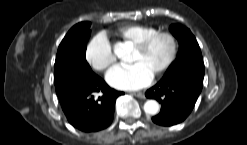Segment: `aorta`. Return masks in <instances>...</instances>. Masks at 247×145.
Listing matches in <instances>:
<instances>
[{
    "instance_id": "762f6f07",
    "label": "aorta",
    "mask_w": 247,
    "mask_h": 145,
    "mask_svg": "<svg viewBox=\"0 0 247 145\" xmlns=\"http://www.w3.org/2000/svg\"><path fill=\"white\" fill-rule=\"evenodd\" d=\"M115 53H116L118 56H122V54H123L122 48L116 47V48H115ZM159 109H160V106H159L158 102L155 101V100H148V101H146V103L144 104V111H145L147 114L155 115V114H157V113L159 112Z\"/></svg>"
}]
</instances>
